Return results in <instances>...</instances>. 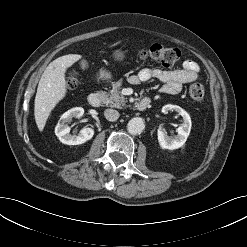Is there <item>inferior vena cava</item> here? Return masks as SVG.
I'll return each mask as SVG.
<instances>
[{"label": "inferior vena cava", "instance_id": "602c4592", "mask_svg": "<svg viewBox=\"0 0 247 247\" xmlns=\"http://www.w3.org/2000/svg\"><path fill=\"white\" fill-rule=\"evenodd\" d=\"M104 116L108 121H116L119 118V112L114 109H106Z\"/></svg>", "mask_w": 247, "mask_h": 247}]
</instances>
